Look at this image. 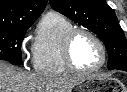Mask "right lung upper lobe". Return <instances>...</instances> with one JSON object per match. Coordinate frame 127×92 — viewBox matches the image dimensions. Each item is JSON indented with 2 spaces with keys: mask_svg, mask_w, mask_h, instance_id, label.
<instances>
[{
  "mask_svg": "<svg viewBox=\"0 0 127 92\" xmlns=\"http://www.w3.org/2000/svg\"><path fill=\"white\" fill-rule=\"evenodd\" d=\"M47 0H0V28L32 25Z\"/></svg>",
  "mask_w": 127,
  "mask_h": 92,
  "instance_id": "obj_1",
  "label": "right lung upper lobe"
}]
</instances>
